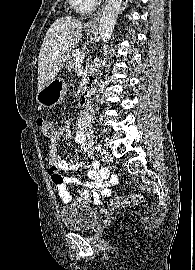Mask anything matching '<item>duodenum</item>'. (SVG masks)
<instances>
[{
  "label": "duodenum",
  "instance_id": "410a0bca",
  "mask_svg": "<svg viewBox=\"0 0 195 270\" xmlns=\"http://www.w3.org/2000/svg\"><path fill=\"white\" fill-rule=\"evenodd\" d=\"M92 86H93L92 85V78H89V81L87 82L86 87H85V89L82 92L81 97H80V104L83 107H86L89 104V100H90L91 93H92Z\"/></svg>",
  "mask_w": 195,
  "mask_h": 270
}]
</instances>
